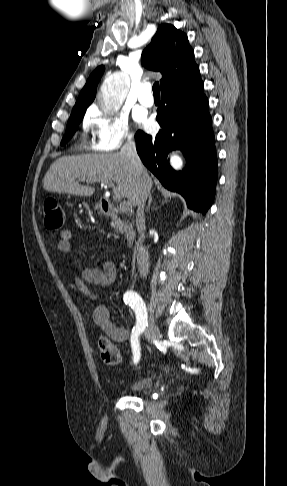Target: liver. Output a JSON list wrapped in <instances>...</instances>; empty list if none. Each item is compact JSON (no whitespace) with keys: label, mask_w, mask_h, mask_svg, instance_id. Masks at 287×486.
<instances>
[{"label":"liver","mask_w":287,"mask_h":486,"mask_svg":"<svg viewBox=\"0 0 287 486\" xmlns=\"http://www.w3.org/2000/svg\"><path fill=\"white\" fill-rule=\"evenodd\" d=\"M76 179L114 182V195L137 205V175L130 160L121 152L61 157L50 166L43 179V188L77 196L93 195L94 188L83 186Z\"/></svg>","instance_id":"obj_1"}]
</instances>
